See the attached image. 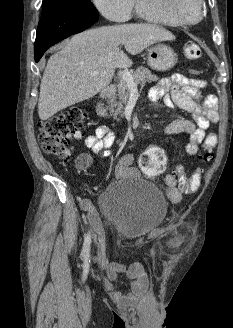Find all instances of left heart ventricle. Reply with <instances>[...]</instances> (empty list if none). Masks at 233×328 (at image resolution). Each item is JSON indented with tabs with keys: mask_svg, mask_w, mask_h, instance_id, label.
<instances>
[{
	"mask_svg": "<svg viewBox=\"0 0 233 328\" xmlns=\"http://www.w3.org/2000/svg\"><path fill=\"white\" fill-rule=\"evenodd\" d=\"M174 11L183 19L194 20L199 15L198 0H171Z\"/></svg>",
	"mask_w": 233,
	"mask_h": 328,
	"instance_id": "1",
	"label": "left heart ventricle"
}]
</instances>
